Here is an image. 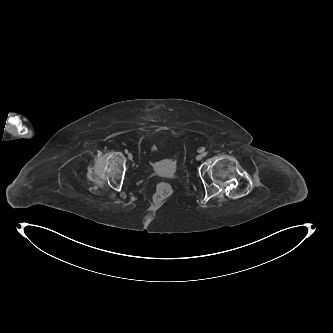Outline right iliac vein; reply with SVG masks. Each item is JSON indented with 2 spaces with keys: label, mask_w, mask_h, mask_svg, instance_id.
Listing matches in <instances>:
<instances>
[{
  "label": "right iliac vein",
  "mask_w": 333,
  "mask_h": 333,
  "mask_svg": "<svg viewBox=\"0 0 333 333\" xmlns=\"http://www.w3.org/2000/svg\"><path fill=\"white\" fill-rule=\"evenodd\" d=\"M128 159H129L130 161H132V159H133V155H132L131 153H128Z\"/></svg>",
  "instance_id": "1"
}]
</instances>
